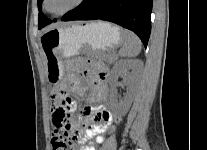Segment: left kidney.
Masks as SVG:
<instances>
[{
	"label": "left kidney",
	"instance_id": "5707ae66",
	"mask_svg": "<svg viewBox=\"0 0 207 150\" xmlns=\"http://www.w3.org/2000/svg\"><path fill=\"white\" fill-rule=\"evenodd\" d=\"M138 64L139 62L137 60H122L117 62L113 67L110 79V104L112 111L118 116L127 114L135 96V89L130 86L124 99L118 103L116 100V81L119 76H125L127 85H130L133 82L134 74L138 71ZM130 69L132 70V74H129Z\"/></svg>",
	"mask_w": 207,
	"mask_h": 150
}]
</instances>
